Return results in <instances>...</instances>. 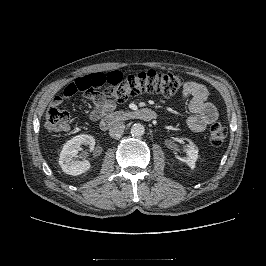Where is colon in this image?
Returning a JSON list of instances; mask_svg holds the SVG:
<instances>
[{"mask_svg":"<svg viewBox=\"0 0 266 266\" xmlns=\"http://www.w3.org/2000/svg\"><path fill=\"white\" fill-rule=\"evenodd\" d=\"M182 78L170 72L155 70L143 71L124 76L118 71L109 73H93L79 77L64 89V96L70 97L76 93H88L104 87V95L116 102H124L129 97L143 93L156 92L164 96L176 94L182 87ZM56 101L45 112V129L49 134L65 132L70 126L67 112L58 107ZM227 136V130L222 124H214L209 130L211 145L221 146Z\"/></svg>","mask_w":266,"mask_h":266,"instance_id":"1","label":"colon"}]
</instances>
